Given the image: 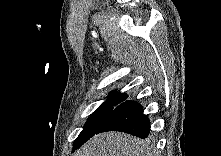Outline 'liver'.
Listing matches in <instances>:
<instances>
[{"label":"liver","mask_w":221,"mask_h":156,"mask_svg":"<svg viewBox=\"0 0 221 156\" xmlns=\"http://www.w3.org/2000/svg\"><path fill=\"white\" fill-rule=\"evenodd\" d=\"M152 146L121 132L99 134L85 143L75 156H153Z\"/></svg>","instance_id":"6515ba94"}]
</instances>
